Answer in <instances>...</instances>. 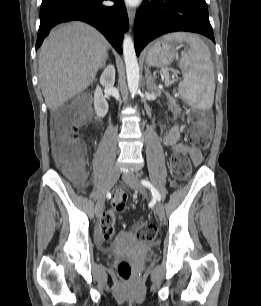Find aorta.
Here are the masks:
<instances>
[{
  "instance_id": "762f6f07",
  "label": "aorta",
  "mask_w": 261,
  "mask_h": 306,
  "mask_svg": "<svg viewBox=\"0 0 261 306\" xmlns=\"http://www.w3.org/2000/svg\"><path fill=\"white\" fill-rule=\"evenodd\" d=\"M123 56L126 66L128 87L132 97H134L139 89V66L134 43L129 35H125L123 40Z\"/></svg>"
}]
</instances>
